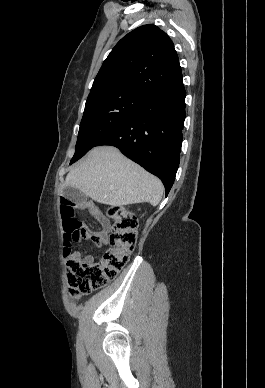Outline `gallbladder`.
I'll use <instances>...</instances> for the list:
<instances>
[{
	"instance_id": "obj_1",
	"label": "gallbladder",
	"mask_w": 265,
	"mask_h": 388,
	"mask_svg": "<svg viewBox=\"0 0 265 388\" xmlns=\"http://www.w3.org/2000/svg\"><path fill=\"white\" fill-rule=\"evenodd\" d=\"M62 194L65 196V198H67V200H70V202H73V204H77V206H80V204H85L87 200L86 194L80 192L78 188H71V186L65 188Z\"/></svg>"
}]
</instances>
